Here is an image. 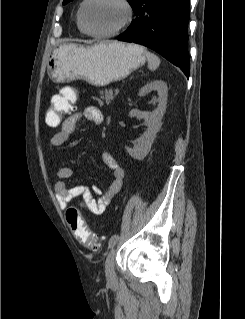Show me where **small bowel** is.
<instances>
[{
  "label": "small bowel",
  "instance_id": "obj_1",
  "mask_svg": "<svg viewBox=\"0 0 245 319\" xmlns=\"http://www.w3.org/2000/svg\"><path fill=\"white\" fill-rule=\"evenodd\" d=\"M67 91L72 90L66 87L61 92ZM81 118L91 121L96 125H100L103 122L101 110L96 106H87L82 111L71 114L62 122L60 130L51 139V145L53 147H60L67 144L76 129L77 122ZM102 160L112 172L111 182L105 191L97 185L90 188L84 185L70 186L67 180L73 175L72 169L68 166L58 169L57 177L59 181L55 186V193L61 209H65L72 199L82 196V200L78 205L88 212L94 215H102L107 210L112 199L121 191L125 173L110 152H103Z\"/></svg>",
  "mask_w": 245,
  "mask_h": 319
}]
</instances>
